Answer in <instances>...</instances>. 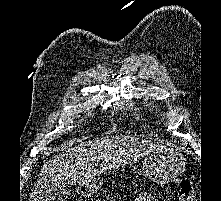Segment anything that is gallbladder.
<instances>
[{
	"label": "gallbladder",
	"mask_w": 221,
	"mask_h": 201,
	"mask_svg": "<svg viewBox=\"0 0 221 201\" xmlns=\"http://www.w3.org/2000/svg\"><path fill=\"white\" fill-rule=\"evenodd\" d=\"M71 193V187L68 185H61L57 187L50 195L51 201H66Z\"/></svg>",
	"instance_id": "1"
}]
</instances>
